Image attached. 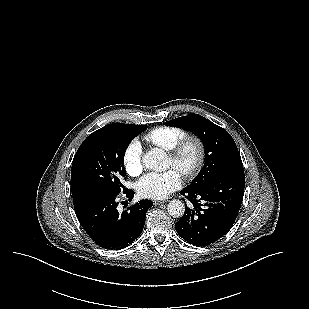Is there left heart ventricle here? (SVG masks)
Returning <instances> with one entry per match:
<instances>
[{"mask_svg": "<svg viewBox=\"0 0 309 309\" xmlns=\"http://www.w3.org/2000/svg\"><path fill=\"white\" fill-rule=\"evenodd\" d=\"M196 157H197V149L194 145H190L184 152L180 167H175L169 157L167 160V165L168 167H172L180 173V170L182 168L185 169L191 167L194 164Z\"/></svg>", "mask_w": 309, "mask_h": 309, "instance_id": "b2bd125f", "label": "left heart ventricle"}]
</instances>
